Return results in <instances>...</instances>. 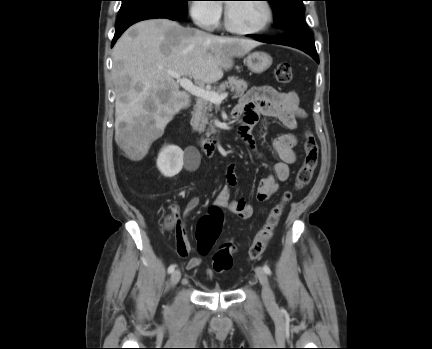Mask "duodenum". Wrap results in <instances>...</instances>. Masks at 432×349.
<instances>
[{"label": "duodenum", "instance_id": "1", "mask_svg": "<svg viewBox=\"0 0 432 349\" xmlns=\"http://www.w3.org/2000/svg\"><path fill=\"white\" fill-rule=\"evenodd\" d=\"M202 147L206 156H213L217 151V139L215 138H202Z\"/></svg>", "mask_w": 432, "mask_h": 349}]
</instances>
